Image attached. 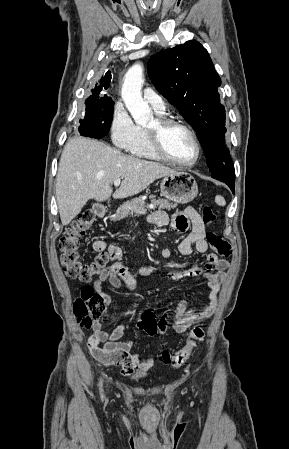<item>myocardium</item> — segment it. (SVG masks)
Segmentation results:
<instances>
[{"instance_id": "1", "label": "myocardium", "mask_w": 289, "mask_h": 449, "mask_svg": "<svg viewBox=\"0 0 289 449\" xmlns=\"http://www.w3.org/2000/svg\"><path fill=\"white\" fill-rule=\"evenodd\" d=\"M155 123H156L155 127L148 128L147 133L149 136V140H150L152 149L154 150V152L160 159L170 162L172 164L181 166V167H192L195 164H197V162L201 158L202 147H201V143H200L195 131L189 125H187L186 123H184L180 120L170 118L167 116L157 117L155 120ZM172 127L182 128L192 138V140L196 146V157L193 161H191V162L178 161V160L174 159L173 157H171L169 155V153L167 152L165 143H164V134L166 133L167 130H169Z\"/></svg>"}]
</instances>
